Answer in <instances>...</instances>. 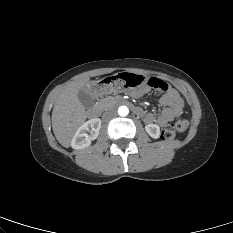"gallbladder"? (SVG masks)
Segmentation results:
<instances>
[{"label": "gallbladder", "instance_id": "bac80fb5", "mask_svg": "<svg viewBox=\"0 0 233 233\" xmlns=\"http://www.w3.org/2000/svg\"><path fill=\"white\" fill-rule=\"evenodd\" d=\"M78 99L81 102V104L87 109L91 108L94 104L93 96L90 93H88L85 89L79 90Z\"/></svg>", "mask_w": 233, "mask_h": 233}]
</instances>
